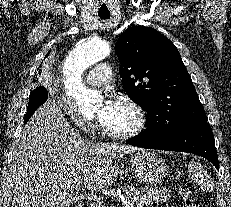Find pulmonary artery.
Here are the masks:
<instances>
[{
	"mask_svg": "<svg viewBox=\"0 0 231 207\" xmlns=\"http://www.w3.org/2000/svg\"><path fill=\"white\" fill-rule=\"evenodd\" d=\"M111 67L106 63H99L93 66L87 75V82L94 87L107 84L112 79Z\"/></svg>",
	"mask_w": 231,
	"mask_h": 207,
	"instance_id": "e3ab8cb5",
	"label": "pulmonary artery"
}]
</instances>
